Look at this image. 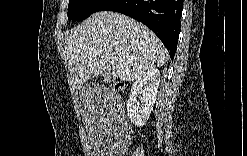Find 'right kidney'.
<instances>
[{
	"instance_id": "right-kidney-1",
	"label": "right kidney",
	"mask_w": 247,
	"mask_h": 156,
	"mask_svg": "<svg viewBox=\"0 0 247 156\" xmlns=\"http://www.w3.org/2000/svg\"><path fill=\"white\" fill-rule=\"evenodd\" d=\"M160 83V71L152 67L143 72L133 84L127 102V115L131 122L138 127L143 126L150 117L156 101ZM142 93L141 104L137 95Z\"/></svg>"
}]
</instances>
